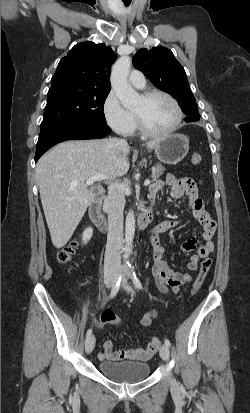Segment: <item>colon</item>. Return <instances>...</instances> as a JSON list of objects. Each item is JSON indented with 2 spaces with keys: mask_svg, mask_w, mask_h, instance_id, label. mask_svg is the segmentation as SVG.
I'll return each instance as SVG.
<instances>
[{
  "mask_svg": "<svg viewBox=\"0 0 250 413\" xmlns=\"http://www.w3.org/2000/svg\"><path fill=\"white\" fill-rule=\"evenodd\" d=\"M201 160L202 158L200 154L198 153L192 154L191 162L193 164H199ZM74 253H75V244H71L70 246L64 248L63 250L59 252L58 254L59 262L63 264L70 262ZM211 264H212V261L209 257H205L203 261L201 262L199 274L192 287L193 294L197 293V291L203 285L206 279V276L208 274V271L210 270ZM101 322L103 324L111 323L112 325L116 326V328H122L123 326L121 323L120 316H116L111 310L104 311V313L101 316ZM150 345L154 348H158L160 346V339L157 337L152 338Z\"/></svg>",
  "mask_w": 250,
  "mask_h": 413,
  "instance_id": "5ec220e1",
  "label": "colon"
}]
</instances>
